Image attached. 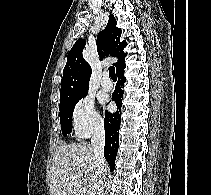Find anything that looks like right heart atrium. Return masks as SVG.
<instances>
[{
  "label": "right heart atrium",
  "instance_id": "obj_1",
  "mask_svg": "<svg viewBox=\"0 0 211 195\" xmlns=\"http://www.w3.org/2000/svg\"><path fill=\"white\" fill-rule=\"evenodd\" d=\"M72 124L79 137H89L102 130V117L90 97H84L76 103L72 112Z\"/></svg>",
  "mask_w": 211,
  "mask_h": 195
}]
</instances>
